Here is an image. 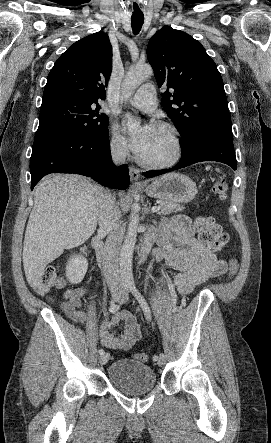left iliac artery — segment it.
Returning a JSON list of instances; mask_svg holds the SVG:
<instances>
[{"label": "left iliac artery", "instance_id": "obj_1", "mask_svg": "<svg viewBox=\"0 0 271 443\" xmlns=\"http://www.w3.org/2000/svg\"><path fill=\"white\" fill-rule=\"evenodd\" d=\"M130 290H131L133 296L137 299L138 303L140 304V306L144 312L146 320L150 321L151 320V311H150V308H149L146 300L144 299V297L141 295V293L138 291V289L135 287L134 284L130 285ZM152 359H153V361H158V356L154 355Z\"/></svg>", "mask_w": 271, "mask_h": 443}]
</instances>
